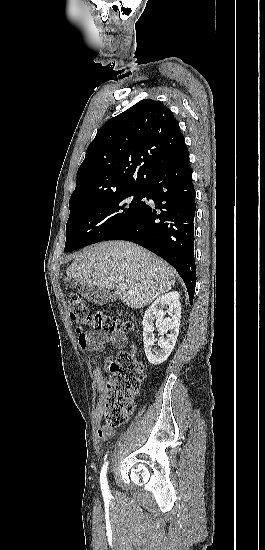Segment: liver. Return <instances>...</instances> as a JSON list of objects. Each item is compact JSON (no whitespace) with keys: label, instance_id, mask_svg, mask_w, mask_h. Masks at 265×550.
Returning a JSON list of instances; mask_svg holds the SVG:
<instances>
[{"label":"liver","instance_id":"obj_1","mask_svg":"<svg viewBox=\"0 0 265 550\" xmlns=\"http://www.w3.org/2000/svg\"><path fill=\"white\" fill-rule=\"evenodd\" d=\"M66 273L82 285L106 290L117 287V297L133 309L150 304L175 284V270L171 266L128 241L101 242L84 248ZM119 284H125L127 289H118Z\"/></svg>","mask_w":265,"mask_h":550}]
</instances>
